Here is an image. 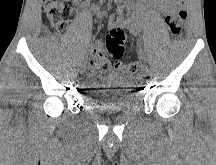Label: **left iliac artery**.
<instances>
[{"label":"left iliac artery","mask_w":216,"mask_h":165,"mask_svg":"<svg viewBox=\"0 0 216 165\" xmlns=\"http://www.w3.org/2000/svg\"><path fill=\"white\" fill-rule=\"evenodd\" d=\"M139 54L141 56V58L143 59V63L146 65L148 63V59L145 57L144 52L142 51V49L139 50Z\"/></svg>","instance_id":"44dca946"}]
</instances>
